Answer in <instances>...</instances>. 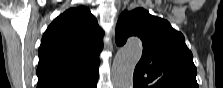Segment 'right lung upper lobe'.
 I'll use <instances>...</instances> for the list:
<instances>
[{
  "label": "right lung upper lobe",
  "mask_w": 223,
  "mask_h": 88,
  "mask_svg": "<svg viewBox=\"0 0 223 88\" xmlns=\"http://www.w3.org/2000/svg\"><path fill=\"white\" fill-rule=\"evenodd\" d=\"M102 36L86 7L59 15L42 37L37 88H90L99 76Z\"/></svg>",
  "instance_id": "cb5924a9"
}]
</instances>
